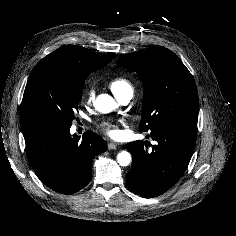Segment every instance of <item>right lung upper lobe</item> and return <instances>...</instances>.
<instances>
[{
	"label": "right lung upper lobe",
	"mask_w": 236,
	"mask_h": 236,
	"mask_svg": "<svg viewBox=\"0 0 236 236\" xmlns=\"http://www.w3.org/2000/svg\"><path fill=\"white\" fill-rule=\"evenodd\" d=\"M114 56L76 45L63 46L40 60L31 73L42 71L62 76L90 74L106 66Z\"/></svg>",
	"instance_id": "obj_1"
}]
</instances>
